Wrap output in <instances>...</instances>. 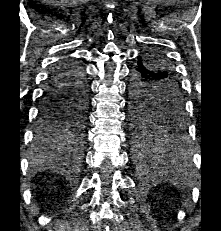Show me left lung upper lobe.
Wrapping results in <instances>:
<instances>
[{"label":"left lung upper lobe","instance_id":"obj_1","mask_svg":"<svg viewBox=\"0 0 221 231\" xmlns=\"http://www.w3.org/2000/svg\"><path fill=\"white\" fill-rule=\"evenodd\" d=\"M149 58L152 60L146 61L147 67L155 72L162 74L163 77L157 79V83L163 85L162 90L148 92L146 90L144 95L149 103H152V98L155 95L160 102L156 105L147 104L142 108L132 106L130 111V121L133 127L134 139L137 142H147L155 138L157 130L163 127H172L176 122L183 120V98L180 89V84L174 76L170 65L159 52L149 53Z\"/></svg>","mask_w":221,"mask_h":231}]
</instances>
